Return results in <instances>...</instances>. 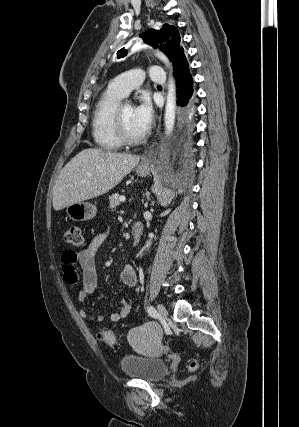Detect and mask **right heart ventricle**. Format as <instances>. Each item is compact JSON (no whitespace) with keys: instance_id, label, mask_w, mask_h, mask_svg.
I'll use <instances>...</instances> for the list:
<instances>
[{"instance_id":"obj_1","label":"right heart ventricle","mask_w":299,"mask_h":427,"mask_svg":"<svg viewBox=\"0 0 299 427\" xmlns=\"http://www.w3.org/2000/svg\"><path fill=\"white\" fill-rule=\"evenodd\" d=\"M123 97L109 85L95 104L92 116V137L96 146L102 150L114 151L122 146L115 133L113 115Z\"/></svg>"}]
</instances>
